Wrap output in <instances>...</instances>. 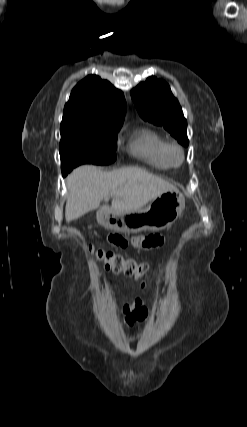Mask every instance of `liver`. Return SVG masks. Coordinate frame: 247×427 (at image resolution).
<instances>
[{
  "label": "liver",
  "instance_id": "obj_1",
  "mask_svg": "<svg viewBox=\"0 0 247 427\" xmlns=\"http://www.w3.org/2000/svg\"><path fill=\"white\" fill-rule=\"evenodd\" d=\"M68 198L67 221L80 218L112 198V209L118 212L139 210L160 194L175 186L139 167L120 168L111 172L98 166L82 165L66 178Z\"/></svg>",
  "mask_w": 247,
  "mask_h": 427
}]
</instances>
